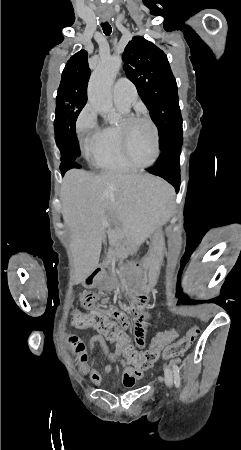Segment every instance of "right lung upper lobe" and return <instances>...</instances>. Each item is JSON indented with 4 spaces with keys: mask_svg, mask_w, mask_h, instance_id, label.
<instances>
[{
    "mask_svg": "<svg viewBox=\"0 0 241 450\" xmlns=\"http://www.w3.org/2000/svg\"><path fill=\"white\" fill-rule=\"evenodd\" d=\"M89 77L90 69L87 62V52L81 50L68 60L62 73L61 82L84 80L89 79Z\"/></svg>",
    "mask_w": 241,
    "mask_h": 450,
    "instance_id": "1",
    "label": "right lung upper lobe"
}]
</instances>
